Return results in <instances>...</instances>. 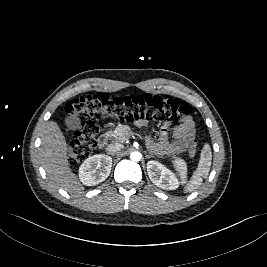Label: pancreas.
I'll return each instance as SVG.
<instances>
[{"label": "pancreas", "mask_w": 267, "mask_h": 267, "mask_svg": "<svg viewBox=\"0 0 267 267\" xmlns=\"http://www.w3.org/2000/svg\"><path fill=\"white\" fill-rule=\"evenodd\" d=\"M107 135L119 142H124L132 135V131L127 125H119L115 130L108 131Z\"/></svg>", "instance_id": "1"}]
</instances>
